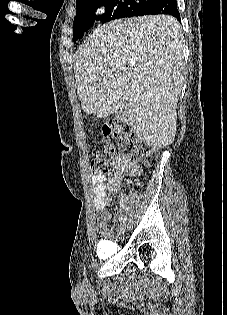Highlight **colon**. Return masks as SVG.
<instances>
[{
  "label": "colon",
  "instance_id": "colon-1",
  "mask_svg": "<svg viewBox=\"0 0 227 315\" xmlns=\"http://www.w3.org/2000/svg\"><path fill=\"white\" fill-rule=\"evenodd\" d=\"M102 142L105 152H95L92 155L91 170L94 173H105L109 167L107 155H113L119 149L145 167H151L156 161L157 150L125 125L113 123L104 126Z\"/></svg>",
  "mask_w": 227,
  "mask_h": 315
}]
</instances>
